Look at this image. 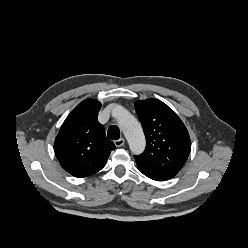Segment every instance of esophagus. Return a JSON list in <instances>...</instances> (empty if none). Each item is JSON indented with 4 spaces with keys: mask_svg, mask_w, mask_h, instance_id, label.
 <instances>
[{
    "mask_svg": "<svg viewBox=\"0 0 248 248\" xmlns=\"http://www.w3.org/2000/svg\"><path fill=\"white\" fill-rule=\"evenodd\" d=\"M124 143H125L124 138H120V139L114 141V144H115L116 147H121V146L124 145Z\"/></svg>",
    "mask_w": 248,
    "mask_h": 248,
    "instance_id": "1",
    "label": "esophagus"
}]
</instances>
